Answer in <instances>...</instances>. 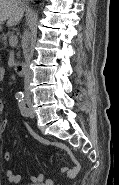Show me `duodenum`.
Wrapping results in <instances>:
<instances>
[{"label":"duodenum","instance_id":"410a0bca","mask_svg":"<svg viewBox=\"0 0 119 185\" xmlns=\"http://www.w3.org/2000/svg\"><path fill=\"white\" fill-rule=\"evenodd\" d=\"M15 69L19 76H25V74L27 73V64L23 61L18 62Z\"/></svg>","mask_w":119,"mask_h":185}]
</instances>
